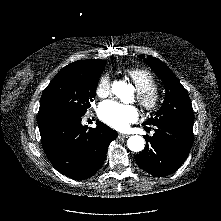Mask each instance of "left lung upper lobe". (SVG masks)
<instances>
[{
  "instance_id": "5c2ea615",
  "label": "left lung upper lobe",
  "mask_w": 221,
  "mask_h": 221,
  "mask_svg": "<svg viewBox=\"0 0 221 221\" xmlns=\"http://www.w3.org/2000/svg\"><path fill=\"white\" fill-rule=\"evenodd\" d=\"M139 57L144 58V55H139ZM146 63L163 81L166 97L156 116L150 118L144 124L157 125L162 122L194 123L193 110L188 92L173 72L158 58L147 56Z\"/></svg>"
}]
</instances>
